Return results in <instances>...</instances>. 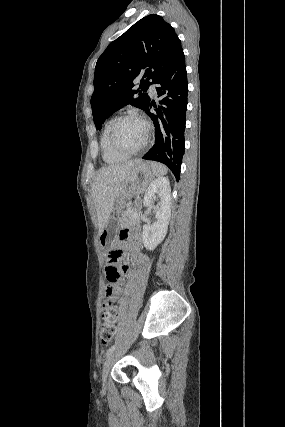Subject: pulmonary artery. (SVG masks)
<instances>
[{
  "mask_svg": "<svg viewBox=\"0 0 285 427\" xmlns=\"http://www.w3.org/2000/svg\"><path fill=\"white\" fill-rule=\"evenodd\" d=\"M150 91H151L152 93H155L156 89H155V86H154V85H151V87H150Z\"/></svg>",
  "mask_w": 285,
  "mask_h": 427,
  "instance_id": "obj_1",
  "label": "pulmonary artery"
}]
</instances>
